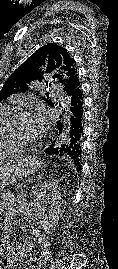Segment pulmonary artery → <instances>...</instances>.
<instances>
[{"label":"pulmonary artery","mask_w":118,"mask_h":269,"mask_svg":"<svg viewBox=\"0 0 118 269\" xmlns=\"http://www.w3.org/2000/svg\"><path fill=\"white\" fill-rule=\"evenodd\" d=\"M54 87H55V86H54ZM56 96H57V97H59V96H60V94H59V93H56Z\"/></svg>","instance_id":"obj_1"}]
</instances>
